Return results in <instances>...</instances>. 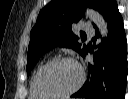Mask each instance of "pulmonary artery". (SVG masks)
<instances>
[{
  "mask_svg": "<svg viewBox=\"0 0 128 99\" xmlns=\"http://www.w3.org/2000/svg\"><path fill=\"white\" fill-rule=\"evenodd\" d=\"M83 27H84V30L90 35H92L95 31L94 28L89 24H84Z\"/></svg>",
  "mask_w": 128,
  "mask_h": 99,
  "instance_id": "obj_1",
  "label": "pulmonary artery"
}]
</instances>
